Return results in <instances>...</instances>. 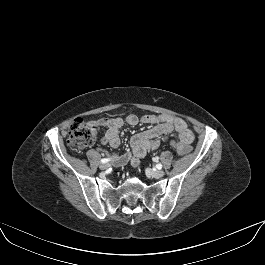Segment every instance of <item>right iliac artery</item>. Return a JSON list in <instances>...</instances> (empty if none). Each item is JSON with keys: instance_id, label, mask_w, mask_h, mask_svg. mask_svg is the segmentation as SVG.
<instances>
[{"instance_id": "right-iliac-artery-1", "label": "right iliac artery", "mask_w": 265, "mask_h": 265, "mask_svg": "<svg viewBox=\"0 0 265 265\" xmlns=\"http://www.w3.org/2000/svg\"><path fill=\"white\" fill-rule=\"evenodd\" d=\"M111 159L110 158H104V159H101V163H107L109 162Z\"/></svg>"}]
</instances>
